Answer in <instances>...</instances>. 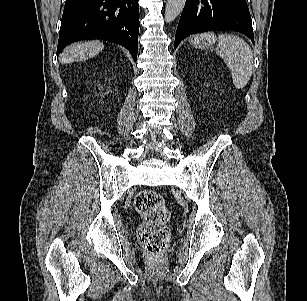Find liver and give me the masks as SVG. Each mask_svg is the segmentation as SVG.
<instances>
[{
  "label": "liver",
  "instance_id": "liver-1",
  "mask_svg": "<svg viewBox=\"0 0 307 301\" xmlns=\"http://www.w3.org/2000/svg\"><path fill=\"white\" fill-rule=\"evenodd\" d=\"M104 45L100 41H87L82 43H75L64 49L60 55V62L68 64L72 62L83 61L94 57L102 49Z\"/></svg>",
  "mask_w": 307,
  "mask_h": 301
}]
</instances>
